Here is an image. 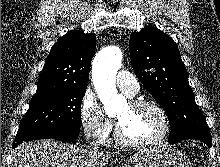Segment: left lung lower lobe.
Here are the masks:
<instances>
[{"instance_id":"1","label":"left lung lower lobe","mask_w":220,"mask_h":167,"mask_svg":"<svg viewBox=\"0 0 220 167\" xmlns=\"http://www.w3.org/2000/svg\"><path fill=\"white\" fill-rule=\"evenodd\" d=\"M185 139L200 140V141L206 143L209 148L212 145V139H211V134L210 133L191 135V136L185 137L181 140H168V142H169V144H176V143L181 142L182 140H185Z\"/></svg>"}]
</instances>
